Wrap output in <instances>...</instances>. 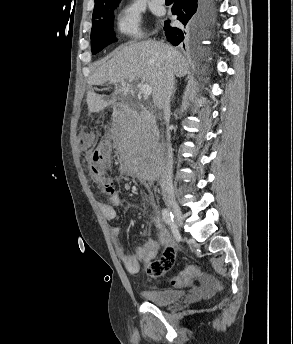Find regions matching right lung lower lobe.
Segmentation results:
<instances>
[{
  "label": "right lung lower lobe",
  "instance_id": "1",
  "mask_svg": "<svg viewBox=\"0 0 293 344\" xmlns=\"http://www.w3.org/2000/svg\"><path fill=\"white\" fill-rule=\"evenodd\" d=\"M172 14L177 15L184 26L171 27L167 21L164 26L165 35L173 45H184L190 38L191 28L200 29L211 22L213 0H175Z\"/></svg>",
  "mask_w": 293,
  "mask_h": 344
}]
</instances>
